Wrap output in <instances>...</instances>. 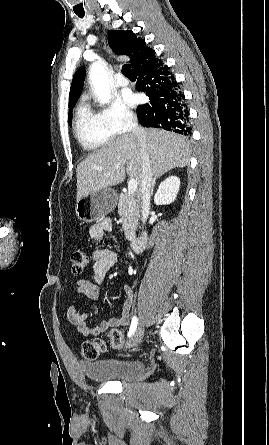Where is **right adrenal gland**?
Masks as SVG:
<instances>
[{"label":"right adrenal gland","mask_w":269,"mask_h":445,"mask_svg":"<svg viewBox=\"0 0 269 445\" xmlns=\"http://www.w3.org/2000/svg\"><path fill=\"white\" fill-rule=\"evenodd\" d=\"M168 171H169V170L163 172L162 174L156 176V177L153 179V181H152V186H151V196L153 195L154 187H155V184H156L157 179L160 178L162 175H164V174H165L166 172H168Z\"/></svg>","instance_id":"2a0ac1e0"}]
</instances>
